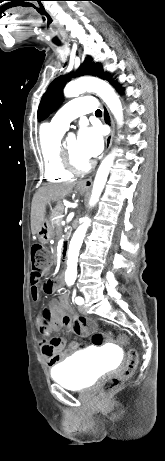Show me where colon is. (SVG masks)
Segmentation results:
<instances>
[{
    "instance_id": "obj_1",
    "label": "colon",
    "mask_w": 165,
    "mask_h": 461,
    "mask_svg": "<svg viewBox=\"0 0 165 461\" xmlns=\"http://www.w3.org/2000/svg\"><path fill=\"white\" fill-rule=\"evenodd\" d=\"M32 272L31 279L39 281L43 276L45 269L49 266V253L42 244H35L31 249ZM118 341L121 345L128 343V337L125 334L118 336ZM139 357L135 349H130L127 354V362L123 369L114 376L107 377L101 384V395L106 397L116 390L128 380L135 372L138 365Z\"/></svg>"
}]
</instances>
